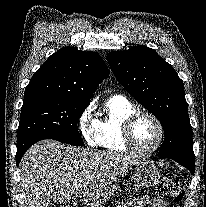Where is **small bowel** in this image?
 Instances as JSON below:
<instances>
[{"mask_svg": "<svg viewBox=\"0 0 206 207\" xmlns=\"http://www.w3.org/2000/svg\"><path fill=\"white\" fill-rule=\"evenodd\" d=\"M167 207L165 201L158 197L143 196L138 199H133L127 203H120L116 207Z\"/></svg>", "mask_w": 206, "mask_h": 207, "instance_id": "obj_1", "label": "small bowel"}]
</instances>
